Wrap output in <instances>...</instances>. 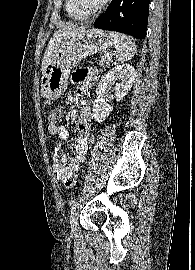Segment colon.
Returning <instances> with one entry per match:
<instances>
[{
	"mask_svg": "<svg viewBox=\"0 0 195 270\" xmlns=\"http://www.w3.org/2000/svg\"><path fill=\"white\" fill-rule=\"evenodd\" d=\"M62 113H63L62 107L56 106V107L52 108L48 113L49 123L57 124L62 118ZM76 182H77L76 175L64 180V184L67 188L74 187Z\"/></svg>",
	"mask_w": 195,
	"mask_h": 270,
	"instance_id": "1",
	"label": "colon"
}]
</instances>
